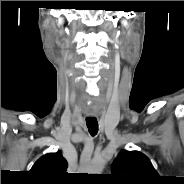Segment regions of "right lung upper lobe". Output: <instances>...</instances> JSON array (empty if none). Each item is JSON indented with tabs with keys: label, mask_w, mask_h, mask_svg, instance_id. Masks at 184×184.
Here are the masks:
<instances>
[{
	"label": "right lung upper lobe",
	"mask_w": 184,
	"mask_h": 184,
	"mask_svg": "<svg viewBox=\"0 0 184 184\" xmlns=\"http://www.w3.org/2000/svg\"><path fill=\"white\" fill-rule=\"evenodd\" d=\"M67 161L62 153H48L33 165L30 172L42 184H62L67 180Z\"/></svg>",
	"instance_id": "cb5924a9"
}]
</instances>
